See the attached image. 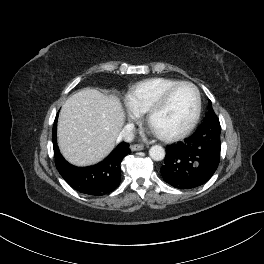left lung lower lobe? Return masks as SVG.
I'll return each mask as SVG.
<instances>
[{"label": "left lung lower lobe", "instance_id": "1", "mask_svg": "<svg viewBox=\"0 0 264 264\" xmlns=\"http://www.w3.org/2000/svg\"><path fill=\"white\" fill-rule=\"evenodd\" d=\"M220 132L219 125L205 122L184 142L168 146L160 168L163 179L179 189H191L207 182L220 161Z\"/></svg>", "mask_w": 264, "mask_h": 264}]
</instances>
